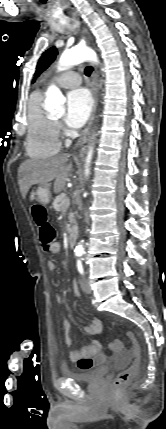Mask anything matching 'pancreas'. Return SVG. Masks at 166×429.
<instances>
[{"label": "pancreas", "mask_w": 166, "mask_h": 429, "mask_svg": "<svg viewBox=\"0 0 166 429\" xmlns=\"http://www.w3.org/2000/svg\"><path fill=\"white\" fill-rule=\"evenodd\" d=\"M65 199H67V197L65 195H60L57 196L53 202V208L54 210L58 211V212H62L65 213L66 210L68 209L70 202H65ZM73 213L69 214V219L71 222H73Z\"/></svg>", "instance_id": "1"}]
</instances>
